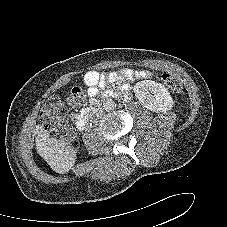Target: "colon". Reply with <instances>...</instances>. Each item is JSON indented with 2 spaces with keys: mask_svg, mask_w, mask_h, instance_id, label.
Instances as JSON below:
<instances>
[{
  "mask_svg": "<svg viewBox=\"0 0 227 227\" xmlns=\"http://www.w3.org/2000/svg\"><path fill=\"white\" fill-rule=\"evenodd\" d=\"M162 79L171 91L176 93L181 91V82L175 75L165 73L162 75ZM85 98L86 92L81 86H74L68 94L69 102L74 105L82 104ZM40 116L51 138L66 143L72 149L78 148V138L69 126L67 109L59 97H49L43 104Z\"/></svg>",
  "mask_w": 227,
  "mask_h": 227,
  "instance_id": "colon-1",
  "label": "colon"
}]
</instances>
